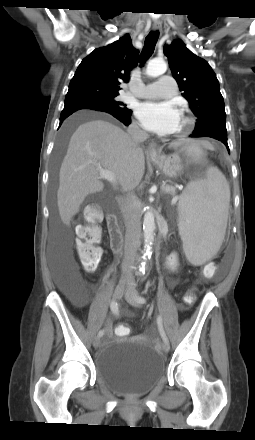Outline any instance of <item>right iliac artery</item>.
Returning <instances> with one entry per match:
<instances>
[{"mask_svg":"<svg viewBox=\"0 0 255 440\" xmlns=\"http://www.w3.org/2000/svg\"><path fill=\"white\" fill-rule=\"evenodd\" d=\"M110 309L115 315H118V304L114 300H112L110 303ZM103 335H104V330H100L98 333V337L100 338Z\"/></svg>","mask_w":255,"mask_h":440,"instance_id":"1","label":"right iliac artery"}]
</instances>
